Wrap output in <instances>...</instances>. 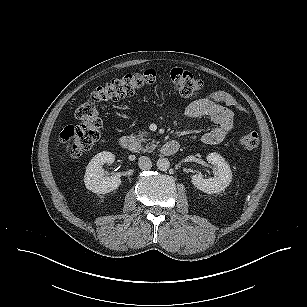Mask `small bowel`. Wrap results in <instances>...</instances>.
I'll return each mask as SVG.
<instances>
[{"instance_id": "small-bowel-1", "label": "small bowel", "mask_w": 307, "mask_h": 307, "mask_svg": "<svg viewBox=\"0 0 307 307\" xmlns=\"http://www.w3.org/2000/svg\"><path fill=\"white\" fill-rule=\"evenodd\" d=\"M233 109L244 112L236 99L225 91H213L192 101L185 109L186 116L194 119L206 118L213 126L202 135L205 144L222 142L234 125Z\"/></svg>"}]
</instances>
